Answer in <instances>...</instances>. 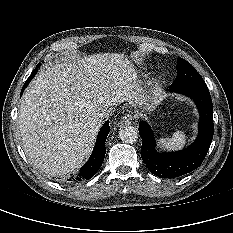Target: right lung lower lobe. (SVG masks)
Wrapping results in <instances>:
<instances>
[{
    "label": "right lung lower lobe",
    "mask_w": 233,
    "mask_h": 233,
    "mask_svg": "<svg viewBox=\"0 0 233 233\" xmlns=\"http://www.w3.org/2000/svg\"><path fill=\"white\" fill-rule=\"evenodd\" d=\"M38 67L39 66H37L34 69L32 74L30 75V77L25 82V84L22 88L21 94L23 93L24 89L27 87V85L29 84L31 79L37 73ZM109 132H110L109 121H106L98 133L97 141H96V144L94 146V150H93L89 160L80 169L79 174L71 177V179H69V180L81 181L83 179H90L91 177H93L96 174V172L99 170V168L101 167V165L104 161V156L106 153L105 141H106V137L109 134Z\"/></svg>",
    "instance_id": "obj_1"
}]
</instances>
